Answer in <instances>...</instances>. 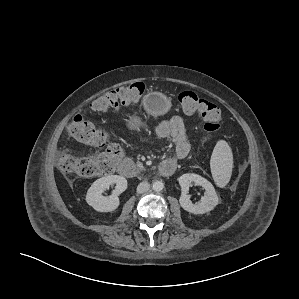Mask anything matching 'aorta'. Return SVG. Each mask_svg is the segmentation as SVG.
<instances>
[{"instance_id":"aorta-1","label":"aorta","mask_w":299,"mask_h":299,"mask_svg":"<svg viewBox=\"0 0 299 299\" xmlns=\"http://www.w3.org/2000/svg\"><path fill=\"white\" fill-rule=\"evenodd\" d=\"M153 190L156 192L162 191L164 188V184L162 181H155L152 184Z\"/></svg>"}]
</instances>
